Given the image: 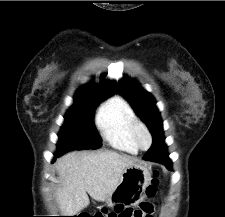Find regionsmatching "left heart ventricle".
I'll return each instance as SVG.
<instances>
[{"label": "left heart ventricle", "mask_w": 225, "mask_h": 217, "mask_svg": "<svg viewBox=\"0 0 225 217\" xmlns=\"http://www.w3.org/2000/svg\"><path fill=\"white\" fill-rule=\"evenodd\" d=\"M140 141H141V143H142L143 145H147L148 139H147V137H146L145 134L142 133V134L140 135Z\"/></svg>", "instance_id": "b2bd125f"}]
</instances>
